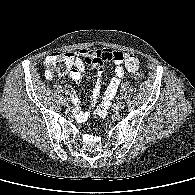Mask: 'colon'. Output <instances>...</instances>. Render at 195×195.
Here are the masks:
<instances>
[{"label": "colon", "mask_w": 195, "mask_h": 195, "mask_svg": "<svg viewBox=\"0 0 195 195\" xmlns=\"http://www.w3.org/2000/svg\"><path fill=\"white\" fill-rule=\"evenodd\" d=\"M45 67L49 76H63L69 71V57L65 53L55 52L47 56L45 59ZM134 79L142 80L143 74L135 72L133 74Z\"/></svg>", "instance_id": "obj_1"}]
</instances>
